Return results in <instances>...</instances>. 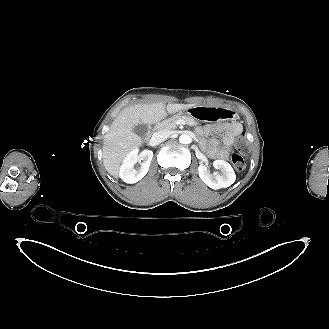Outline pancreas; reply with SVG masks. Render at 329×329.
<instances>
[{"label":"pancreas","mask_w":329,"mask_h":329,"mask_svg":"<svg viewBox=\"0 0 329 329\" xmlns=\"http://www.w3.org/2000/svg\"><path fill=\"white\" fill-rule=\"evenodd\" d=\"M178 121H183L184 123L188 124V125H194L195 124V120L189 116L186 115H175L172 116L166 120H164L163 122L160 123V127L162 129H166V130H170V129H175L177 128V122Z\"/></svg>","instance_id":"pancreas-1"}]
</instances>
